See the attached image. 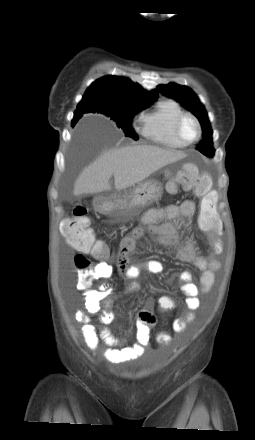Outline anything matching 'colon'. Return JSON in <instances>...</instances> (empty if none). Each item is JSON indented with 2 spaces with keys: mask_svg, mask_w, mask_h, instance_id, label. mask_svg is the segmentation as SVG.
<instances>
[{
  "mask_svg": "<svg viewBox=\"0 0 255 440\" xmlns=\"http://www.w3.org/2000/svg\"><path fill=\"white\" fill-rule=\"evenodd\" d=\"M177 185L192 191L200 199L199 220L204 227L210 228L217 218V193L212 190V180L208 173L199 172L193 165H187L176 173L168 184V190L174 192ZM61 231L70 247L76 250L74 265L80 274L78 287L87 289L95 280L102 279L103 271L99 265H94L85 255L93 252L96 256L107 255L104 243L97 239L90 227V219L85 207H76L73 214L61 223ZM155 303L160 311H175L177 298H156ZM160 346H171L172 338L165 330L157 334Z\"/></svg>",
  "mask_w": 255,
  "mask_h": 440,
  "instance_id": "obj_1",
  "label": "colon"
}]
</instances>
